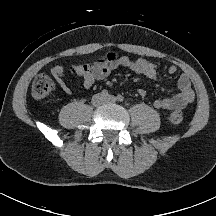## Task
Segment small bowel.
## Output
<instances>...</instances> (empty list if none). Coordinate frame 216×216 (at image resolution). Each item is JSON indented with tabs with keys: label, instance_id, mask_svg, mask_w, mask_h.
I'll return each instance as SVG.
<instances>
[{
	"label": "small bowel",
	"instance_id": "obj_1",
	"mask_svg": "<svg viewBox=\"0 0 216 216\" xmlns=\"http://www.w3.org/2000/svg\"><path fill=\"white\" fill-rule=\"evenodd\" d=\"M118 67H126L151 80L160 78L157 66L148 59L141 57L132 60L127 56L113 52L97 59L91 65L81 66L73 64L71 66L72 70L81 78L82 85L86 89L91 88L98 81L108 77ZM177 70L176 65H171L167 72L169 75H174L177 73ZM50 72L64 93L68 95L74 94V89L65 80L63 65L53 66ZM176 84L179 91L170 97L156 99L153 104L156 109H183L193 103L195 94L189 77L186 74H182L177 79ZM138 94L144 97L146 96V90L139 88Z\"/></svg>",
	"mask_w": 216,
	"mask_h": 216
}]
</instances>
